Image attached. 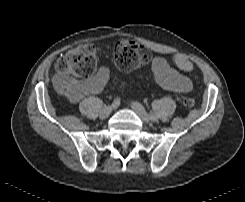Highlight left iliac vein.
I'll return each instance as SVG.
<instances>
[{
    "label": "left iliac vein",
    "instance_id": "left-iliac-vein-1",
    "mask_svg": "<svg viewBox=\"0 0 245 202\" xmlns=\"http://www.w3.org/2000/svg\"><path fill=\"white\" fill-rule=\"evenodd\" d=\"M131 106H132V109L134 110V112L139 116V118L144 123H149L151 121V118L149 117V115L145 111L144 107L139 102H133L131 104Z\"/></svg>",
    "mask_w": 245,
    "mask_h": 202
}]
</instances>
